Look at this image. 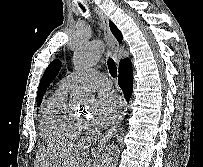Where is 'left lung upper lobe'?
<instances>
[{
  "mask_svg": "<svg viewBox=\"0 0 203 167\" xmlns=\"http://www.w3.org/2000/svg\"><path fill=\"white\" fill-rule=\"evenodd\" d=\"M60 68H61V62L59 60H54L53 62L50 63V65L46 69L39 84L38 97H37L38 105H40L41 103L42 96L44 95L46 87L49 85L50 80L55 78Z\"/></svg>",
  "mask_w": 203,
  "mask_h": 167,
  "instance_id": "1",
  "label": "left lung upper lobe"
}]
</instances>
